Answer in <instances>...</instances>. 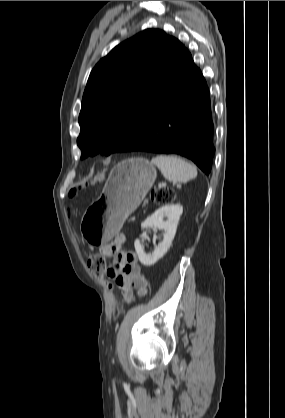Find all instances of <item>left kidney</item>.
Masks as SVG:
<instances>
[{"mask_svg":"<svg viewBox=\"0 0 285 418\" xmlns=\"http://www.w3.org/2000/svg\"><path fill=\"white\" fill-rule=\"evenodd\" d=\"M182 212L183 207L180 204L165 205L157 209L141 224L142 229L147 227H156L164 232L162 242L154 248L152 253L146 254L141 241L139 239L135 241L134 247L138 258L143 265H153L168 251L174 239ZM164 217H166L167 220H164Z\"/></svg>","mask_w":285,"mask_h":418,"instance_id":"obj_1","label":"left kidney"}]
</instances>
